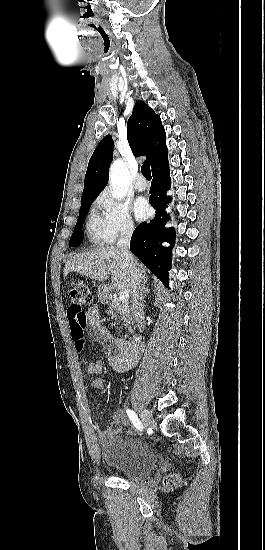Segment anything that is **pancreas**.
Wrapping results in <instances>:
<instances>
[{
    "instance_id": "pancreas-1",
    "label": "pancreas",
    "mask_w": 265,
    "mask_h": 550,
    "mask_svg": "<svg viewBox=\"0 0 265 550\" xmlns=\"http://www.w3.org/2000/svg\"><path fill=\"white\" fill-rule=\"evenodd\" d=\"M108 313L119 319L126 327L134 323V310L129 302H123L119 298L111 301Z\"/></svg>"
}]
</instances>
